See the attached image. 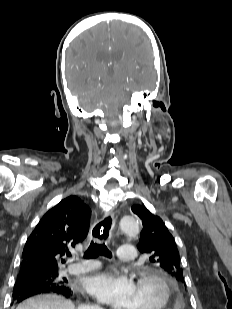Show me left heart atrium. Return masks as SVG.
<instances>
[{
	"mask_svg": "<svg viewBox=\"0 0 232 309\" xmlns=\"http://www.w3.org/2000/svg\"><path fill=\"white\" fill-rule=\"evenodd\" d=\"M85 289L92 297L115 309H131L134 302L135 283L128 276L114 270L90 277Z\"/></svg>",
	"mask_w": 232,
	"mask_h": 309,
	"instance_id": "1",
	"label": "left heart atrium"
}]
</instances>
